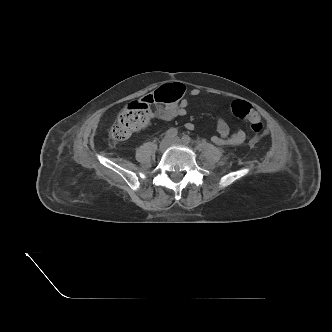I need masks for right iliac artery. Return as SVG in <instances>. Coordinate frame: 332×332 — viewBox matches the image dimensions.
<instances>
[{
	"label": "right iliac artery",
	"instance_id": "right-iliac-artery-1",
	"mask_svg": "<svg viewBox=\"0 0 332 332\" xmlns=\"http://www.w3.org/2000/svg\"><path fill=\"white\" fill-rule=\"evenodd\" d=\"M178 131L176 128H170L166 134H165V138L167 139H172L177 135Z\"/></svg>",
	"mask_w": 332,
	"mask_h": 332
}]
</instances>
